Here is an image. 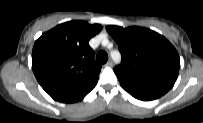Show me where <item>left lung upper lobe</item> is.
<instances>
[{"label": "left lung upper lobe", "instance_id": "5c2ea615", "mask_svg": "<svg viewBox=\"0 0 203 123\" xmlns=\"http://www.w3.org/2000/svg\"><path fill=\"white\" fill-rule=\"evenodd\" d=\"M122 55L114 69L119 81L164 95L177 80L180 58L162 35L147 28L107 26Z\"/></svg>", "mask_w": 203, "mask_h": 123}]
</instances>
